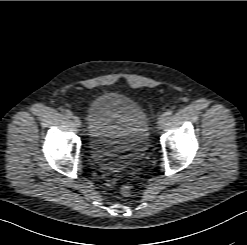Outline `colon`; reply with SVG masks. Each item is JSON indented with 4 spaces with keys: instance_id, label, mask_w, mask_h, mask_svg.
<instances>
[{
    "instance_id": "1",
    "label": "colon",
    "mask_w": 247,
    "mask_h": 245,
    "mask_svg": "<svg viewBox=\"0 0 247 245\" xmlns=\"http://www.w3.org/2000/svg\"><path fill=\"white\" fill-rule=\"evenodd\" d=\"M120 191L123 196H129L132 192V188L130 185L124 184L121 186Z\"/></svg>"
}]
</instances>
